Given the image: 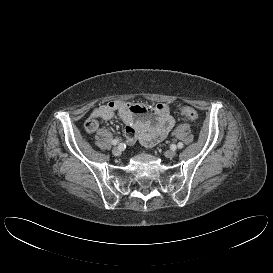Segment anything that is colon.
<instances>
[{
	"instance_id": "colon-1",
	"label": "colon",
	"mask_w": 273,
	"mask_h": 273,
	"mask_svg": "<svg viewBox=\"0 0 273 273\" xmlns=\"http://www.w3.org/2000/svg\"><path fill=\"white\" fill-rule=\"evenodd\" d=\"M180 113L185 119L189 121H195L198 119V112L193 107L182 106L180 107Z\"/></svg>"
}]
</instances>
